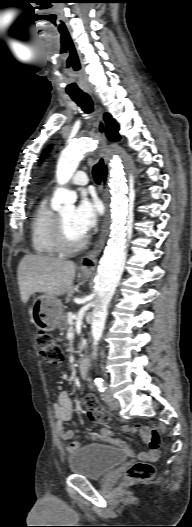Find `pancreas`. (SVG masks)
<instances>
[{
  "instance_id": "1",
  "label": "pancreas",
  "mask_w": 192,
  "mask_h": 527,
  "mask_svg": "<svg viewBox=\"0 0 192 527\" xmlns=\"http://www.w3.org/2000/svg\"><path fill=\"white\" fill-rule=\"evenodd\" d=\"M58 328L61 331H65L68 329V314L64 313L59 320Z\"/></svg>"
}]
</instances>
